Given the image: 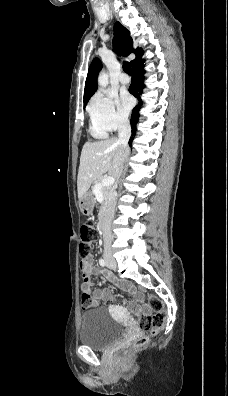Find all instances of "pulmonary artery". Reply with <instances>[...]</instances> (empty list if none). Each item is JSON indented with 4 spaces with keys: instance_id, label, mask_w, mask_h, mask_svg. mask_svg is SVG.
Listing matches in <instances>:
<instances>
[{
    "instance_id": "e3ab8cb5",
    "label": "pulmonary artery",
    "mask_w": 228,
    "mask_h": 396,
    "mask_svg": "<svg viewBox=\"0 0 228 396\" xmlns=\"http://www.w3.org/2000/svg\"><path fill=\"white\" fill-rule=\"evenodd\" d=\"M118 79H119V82L122 84L129 83V77L126 74H120Z\"/></svg>"
}]
</instances>
